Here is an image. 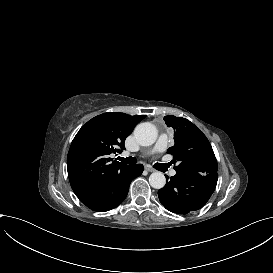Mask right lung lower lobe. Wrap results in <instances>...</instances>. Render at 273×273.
<instances>
[{"mask_svg":"<svg viewBox=\"0 0 273 273\" xmlns=\"http://www.w3.org/2000/svg\"><path fill=\"white\" fill-rule=\"evenodd\" d=\"M144 170L143 165L127 166L123 170L110 176L98 193L82 203L88 208L98 212L109 211L123 202L126 198L131 181L140 176Z\"/></svg>","mask_w":273,"mask_h":273,"instance_id":"98d812e1","label":"right lung lower lobe"}]
</instances>
